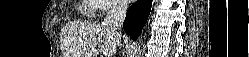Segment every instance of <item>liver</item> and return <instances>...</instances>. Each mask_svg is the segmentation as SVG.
I'll return each mask as SVG.
<instances>
[{
	"label": "liver",
	"instance_id": "obj_1",
	"mask_svg": "<svg viewBox=\"0 0 249 57\" xmlns=\"http://www.w3.org/2000/svg\"><path fill=\"white\" fill-rule=\"evenodd\" d=\"M64 57H97L95 51L105 57L116 53L121 36L102 24L71 22L62 28ZM91 55V56H90Z\"/></svg>",
	"mask_w": 249,
	"mask_h": 57
}]
</instances>
